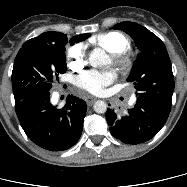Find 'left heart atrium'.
Instances as JSON below:
<instances>
[{
    "label": "left heart atrium",
    "instance_id": "obj_1",
    "mask_svg": "<svg viewBox=\"0 0 187 187\" xmlns=\"http://www.w3.org/2000/svg\"><path fill=\"white\" fill-rule=\"evenodd\" d=\"M116 77V72L113 70H91L81 75L77 84L82 90L98 95L103 93L105 88L115 81Z\"/></svg>",
    "mask_w": 187,
    "mask_h": 187
}]
</instances>
